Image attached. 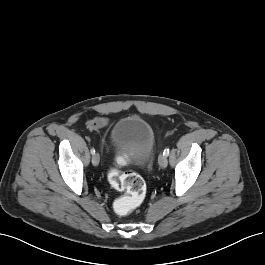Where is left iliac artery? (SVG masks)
Instances as JSON below:
<instances>
[{"label":"left iliac artery","instance_id":"left-iliac-artery-1","mask_svg":"<svg viewBox=\"0 0 265 265\" xmlns=\"http://www.w3.org/2000/svg\"><path fill=\"white\" fill-rule=\"evenodd\" d=\"M169 148H166L163 152V155L168 156L169 155Z\"/></svg>","mask_w":265,"mask_h":265}]
</instances>
